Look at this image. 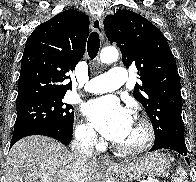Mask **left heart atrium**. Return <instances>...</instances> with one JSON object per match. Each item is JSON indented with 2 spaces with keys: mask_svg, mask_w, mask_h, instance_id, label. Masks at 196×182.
<instances>
[{
  "mask_svg": "<svg viewBox=\"0 0 196 182\" xmlns=\"http://www.w3.org/2000/svg\"><path fill=\"white\" fill-rule=\"evenodd\" d=\"M84 113L106 139L116 143L127 134L133 121L130 112L114 96L89 101Z\"/></svg>",
  "mask_w": 196,
  "mask_h": 182,
  "instance_id": "left-heart-atrium-1",
  "label": "left heart atrium"
}]
</instances>
